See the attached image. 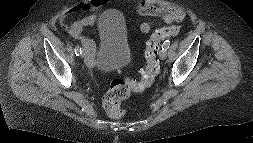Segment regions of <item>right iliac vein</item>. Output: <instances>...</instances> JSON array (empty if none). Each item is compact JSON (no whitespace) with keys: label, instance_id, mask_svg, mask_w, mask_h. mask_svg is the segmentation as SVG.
<instances>
[{"label":"right iliac vein","instance_id":"1","mask_svg":"<svg viewBox=\"0 0 253 143\" xmlns=\"http://www.w3.org/2000/svg\"><path fill=\"white\" fill-rule=\"evenodd\" d=\"M82 57L84 58L85 62H90V60H91V51L88 48L83 47Z\"/></svg>","mask_w":253,"mask_h":143}]
</instances>
